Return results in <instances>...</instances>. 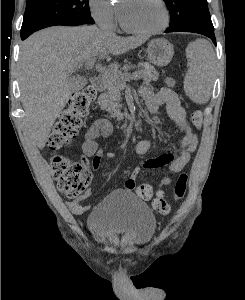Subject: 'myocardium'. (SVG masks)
<instances>
[{
  "label": "myocardium",
  "mask_w": 245,
  "mask_h": 300,
  "mask_svg": "<svg viewBox=\"0 0 245 300\" xmlns=\"http://www.w3.org/2000/svg\"><path fill=\"white\" fill-rule=\"evenodd\" d=\"M158 2L160 3V5L162 6L163 11H164V21L160 26L153 28V29H139V28L130 26L124 20L123 14L120 10L119 11V22H120L121 27L130 33L139 34V35H153V34H157L161 31H163L164 29H166L170 22V11H169V8H168L165 0H158Z\"/></svg>",
  "instance_id": "myocardium-1"
}]
</instances>
